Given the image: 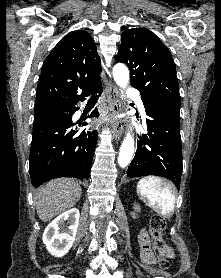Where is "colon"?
Listing matches in <instances>:
<instances>
[{"mask_svg":"<svg viewBox=\"0 0 221 278\" xmlns=\"http://www.w3.org/2000/svg\"><path fill=\"white\" fill-rule=\"evenodd\" d=\"M166 228V220L161 216H153L150 225L149 232L153 239V254L158 256L159 266L166 270L170 268V255L165 247V242L162 237V233Z\"/></svg>","mask_w":221,"mask_h":278,"instance_id":"obj_1","label":"colon"}]
</instances>
